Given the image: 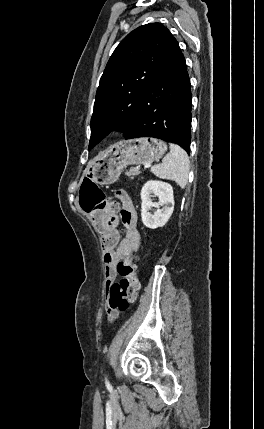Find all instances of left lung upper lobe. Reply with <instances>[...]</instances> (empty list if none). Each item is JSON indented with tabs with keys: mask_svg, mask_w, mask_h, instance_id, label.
I'll return each mask as SVG.
<instances>
[{
	"mask_svg": "<svg viewBox=\"0 0 264 429\" xmlns=\"http://www.w3.org/2000/svg\"><path fill=\"white\" fill-rule=\"evenodd\" d=\"M171 39L161 23H149L130 32L114 50L97 89L89 149L112 129L123 131L124 137L130 133Z\"/></svg>",
	"mask_w": 264,
	"mask_h": 429,
	"instance_id": "1",
	"label": "left lung upper lobe"
}]
</instances>
